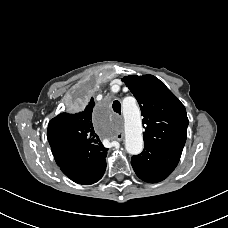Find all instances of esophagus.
<instances>
[{"label":"esophagus","mask_w":228,"mask_h":228,"mask_svg":"<svg viewBox=\"0 0 228 228\" xmlns=\"http://www.w3.org/2000/svg\"><path fill=\"white\" fill-rule=\"evenodd\" d=\"M123 137H124L123 132H119V133L116 134L115 139L117 141H121V140H123Z\"/></svg>","instance_id":"34e87169"}]
</instances>
